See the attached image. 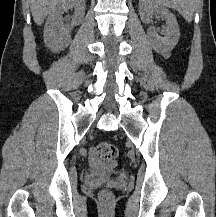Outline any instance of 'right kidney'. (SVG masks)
Listing matches in <instances>:
<instances>
[{
	"label": "right kidney",
	"instance_id": "right-kidney-1",
	"mask_svg": "<svg viewBox=\"0 0 216 217\" xmlns=\"http://www.w3.org/2000/svg\"><path fill=\"white\" fill-rule=\"evenodd\" d=\"M85 0H63L49 14L44 26L45 45L53 52L64 50L71 42V30L82 23L85 15ZM74 10L71 24L64 25L62 15Z\"/></svg>",
	"mask_w": 216,
	"mask_h": 217
}]
</instances>
